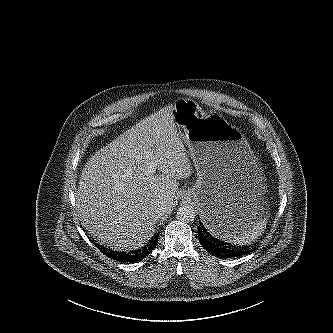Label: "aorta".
<instances>
[{"mask_svg": "<svg viewBox=\"0 0 333 333\" xmlns=\"http://www.w3.org/2000/svg\"><path fill=\"white\" fill-rule=\"evenodd\" d=\"M177 218L183 222H191L195 218V210L190 205H183L177 209Z\"/></svg>", "mask_w": 333, "mask_h": 333, "instance_id": "1", "label": "aorta"}]
</instances>
